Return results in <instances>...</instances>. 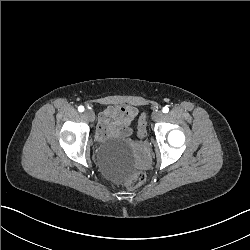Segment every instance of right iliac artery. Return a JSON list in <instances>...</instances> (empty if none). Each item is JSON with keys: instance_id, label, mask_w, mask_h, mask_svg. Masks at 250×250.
Instances as JSON below:
<instances>
[{"instance_id": "82829eb1", "label": "right iliac artery", "mask_w": 250, "mask_h": 250, "mask_svg": "<svg viewBox=\"0 0 250 250\" xmlns=\"http://www.w3.org/2000/svg\"><path fill=\"white\" fill-rule=\"evenodd\" d=\"M78 111H79V112H83V111H84V107H83V106H79V107H78Z\"/></svg>"}]
</instances>
